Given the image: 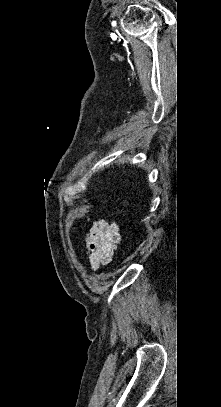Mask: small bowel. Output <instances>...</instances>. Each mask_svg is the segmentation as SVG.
Returning a JSON list of instances; mask_svg holds the SVG:
<instances>
[{"label": "small bowel", "instance_id": "obj_1", "mask_svg": "<svg viewBox=\"0 0 221 407\" xmlns=\"http://www.w3.org/2000/svg\"><path fill=\"white\" fill-rule=\"evenodd\" d=\"M120 240L121 235L115 223L96 221L84 237V249L91 267L96 269L108 263L114 256Z\"/></svg>", "mask_w": 221, "mask_h": 407}]
</instances>
